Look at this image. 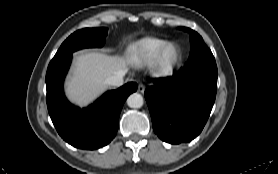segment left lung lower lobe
<instances>
[{"label":"left lung lower lobe","mask_w":278,"mask_h":174,"mask_svg":"<svg viewBox=\"0 0 278 174\" xmlns=\"http://www.w3.org/2000/svg\"><path fill=\"white\" fill-rule=\"evenodd\" d=\"M217 77V71L198 66L154 80L144 94L160 139L179 144L200 134L215 101Z\"/></svg>","instance_id":"0a47b994"}]
</instances>
